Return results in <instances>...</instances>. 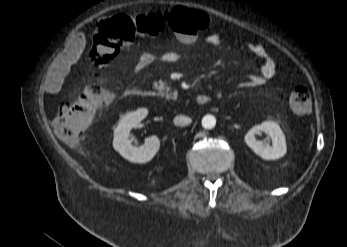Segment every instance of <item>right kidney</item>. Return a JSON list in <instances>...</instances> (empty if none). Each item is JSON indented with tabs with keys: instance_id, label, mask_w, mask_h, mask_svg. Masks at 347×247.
Wrapping results in <instances>:
<instances>
[{
	"instance_id": "right-kidney-1",
	"label": "right kidney",
	"mask_w": 347,
	"mask_h": 247,
	"mask_svg": "<svg viewBox=\"0 0 347 247\" xmlns=\"http://www.w3.org/2000/svg\"><path fill=\"white\" fill-rule=\"evenodd\" d=\"M148 114L147 109H138L123 116L114 130L113 147L119 154L133 163H146L152 160L160 147L156 136L147 138L140 146L132 145L129 140L130 130L136 127Z\"/></svg>"
}]
</instances>
